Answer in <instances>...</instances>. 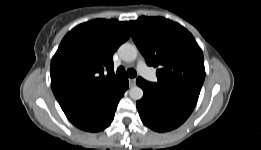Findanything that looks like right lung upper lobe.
Listing matches in <instances>:
<instances>
[{"label": "right lung upper lobe", "mask_w": 261, "mask_h": 150, "mask_svg": "<svg viewBox=\"0 0 261 150\" xmlns=\"http://www.w3.org/2000/svg\"><path fill=\"white\" fill-rule=\"evenodd\" d=\"M131 33L128 22L96 19L69 31L51 61L53 93L69 120L114 95L124 77L114 75L113 54Z\"/></svg>", "instance_id": "right-lung-upper-lobe-1"}]
</instances>
